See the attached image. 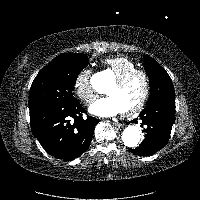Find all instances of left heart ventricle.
I'll use <instances>...</instances> for the list:
<instances>
[{
	"label": "left heart ventricle",
	"mask_w": 200,
	"mask_h": 200,
	"mask_svg": "<svg viewBox=\"0 0 200 200\" xmlns=\"http://www.w3.org/2000/svg\"><path fill=\"white\" fill-rule=\"evenodd\" d=\"M144 92V81L141 76H136L124 86L117 87L114 83L109 87L107 94L114 96L123 111L133 107L141 99Z\"/></svg>",
	"instance_id": "b2bd125f"
}]
</instances>
